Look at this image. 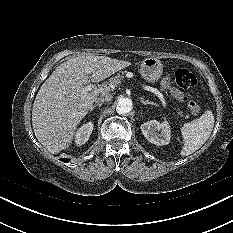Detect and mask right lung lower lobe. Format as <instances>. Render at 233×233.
I'll return each mask as SVG.
<instances>
[{
    "mask_svg": "<svg viewBox=\"0 0 233 233\" xmlns=\"http://www.w3.org/2000/svg\"><path fill=\"white\" fill-rule=\"evenodd\" d=\"M63 162H68V159H62Z\"/></svg>",
    "mask_w": 233,
    "mask_h": 233,
    "instance_id": "1",
    "label": "right lung lower lobe"
}]
</instances>
